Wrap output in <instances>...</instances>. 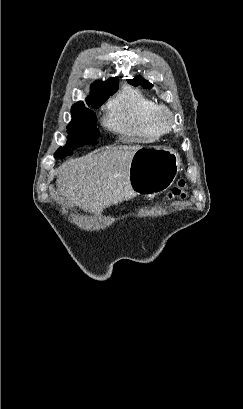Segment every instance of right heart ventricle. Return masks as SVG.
<instances>
[{"mask_svg": "<svg viewBox=\"0 0 243 409\" xmlns=\"http://www.w3.org/2000/svg\"><path fill=\"white\" fill-rule=\"evenodd\" d=\"M156 102L138 89L124 87L107 105L105 125L123 138L151 143L159 134L152 123Z\"/></svg>", "mask_w": 243, "mask_h": 409, "instance_id": "1", "label": "right heart ventricle"}]
</instances>
